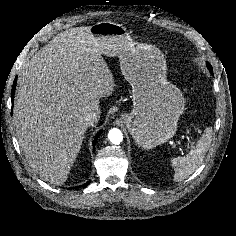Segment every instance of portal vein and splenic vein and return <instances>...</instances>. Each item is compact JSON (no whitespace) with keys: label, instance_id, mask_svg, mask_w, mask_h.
Instances as JSON below:
<instances>
[{"label":"portal vein and splenic vein","instance_id":"1","mask_svg":"<svg viewBox=\"0 0 236 236\" xmlns=\"http://www.w3.org/2000/svg\"><path fill=\"white\" fill-rule=\"evenodd\" d=\"M188 145H191V146H192V145H193V143H192V142H190V141H188Z\"/></svg>","mask_w":236,"mask_h":236}]
</instances>
